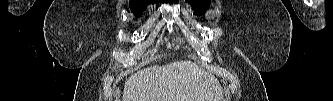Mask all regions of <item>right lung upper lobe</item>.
<instances>
[{
  "label": "right lung upper lobe",
  "instance_id": "right-lung-upper-lobe-1",
  "mask_svg": "<svg viewBox=\"0 0 333 101\" xmlns=\"http://www.w3.org/2000/svg\"><path fill=\"white\" fill-rule=\"evenodd\" d=\"M134 1H147V2H175L177 3L178 0H130V2H134Z\"/></svg>",
  "mask_w": 333,
  "mask_h": 101
}]
</instances>
